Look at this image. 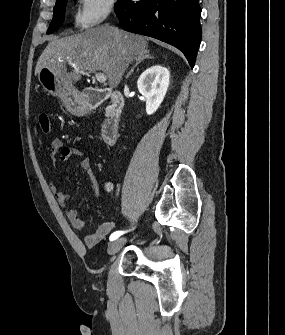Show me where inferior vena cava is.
<instances>
[{
    "mask_svg": "<svg viewBox=\"0 0 285 335\" xmlns=\"http://www.w3.org/2000/svg\"><path fill=\"white\" fill-rule=\"evenodd\" d=\"M112 6H113V4H112V2H110V6H108V10H109V12H111V8H112ZM114 30H115V28H114Z\"/></svg>",
    "mask_w": 285,
    "mask_h": 335,
    "instance_id": "inferior-vena-cava-1",
    "label": "inferior vena cava"
}]
</instances>
